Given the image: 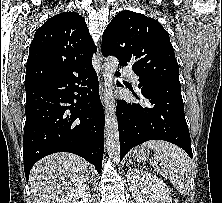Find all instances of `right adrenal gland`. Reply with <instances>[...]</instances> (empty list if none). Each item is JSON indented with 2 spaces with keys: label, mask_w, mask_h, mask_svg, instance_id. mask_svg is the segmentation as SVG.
<instances>
[{
  "label": "right adrenal gland",
  "mask_w": 222,
  "mask_h": 203,
  "mask_svg": "<svg viewBox=\"0 0 222 203\" xmlns=\"http://www.w3.org/2000/svg\"><path fill=\"white\" fill-rule=\"evenodd\" d=\"M91 178H92V177H90V176L88 177V180H89L90 182H91Z\"/></svg>",
  "instance_id": "obj_1"
}]
</instances>
